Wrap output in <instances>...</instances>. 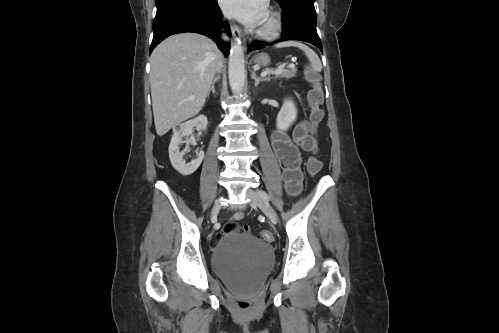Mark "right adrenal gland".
I'll use <instances>...</instances> for the list:
<instances>
[{"instance_id": "right-adrenal-gland-1", "label": "right adrenal gland", "mask_w": 499, "mask_h": 333, "mask_svg": "<svg viewBox=\"0 0 499 333\" xmlns=\"http://www.w3.org/2000/svg\"><path fill=\"white\" fill-rule=\"evenodd\" d=\"M219 79H220V76H219V75H217V76L213 79L212 84H211V88L209 89L208 94H207V96H208V97L210 96V92H211V91H212L213 93H215V83H216Z\"/></svg>"}]
</instances>
